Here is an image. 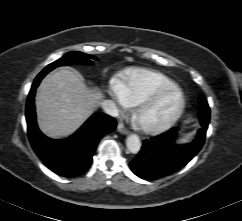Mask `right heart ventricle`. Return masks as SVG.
<instances>
[{"mask_svg": "<svg viewBox=\"0 0 242 221\" xmlns=\"http://www.w3.org/2000/svg\"><path fill=\"white\" fill-rule=\"evenodd\" d=\"M176 85L164 74L149 70H130L115 83L116 90L128 105H139L161 89Z\"/></svg>", "mask_w": 242, "mask_h": 221, "instance_id": "e07e8e85", "label": "right heart ventricle"}]
</instances>
